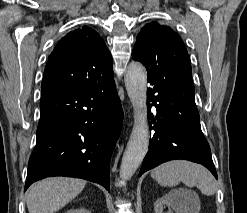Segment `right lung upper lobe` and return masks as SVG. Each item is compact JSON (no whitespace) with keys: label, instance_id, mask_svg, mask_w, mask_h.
<instances>
[{"label":"right lung upper lobe","instance_id":"obj_1","mask_svg":"<svg viewBox=\"0 0 247 213\" xmlns=\"http://www.w3.org/2000/svg\"><path fill=\"white\" fill-rule=\"evenodd\" d=\"M113 60L101 36L87 26L58 42L44 70L41 99L113 76Z\"/></svg>","mask_w":247,"mask_h":213}]
</instances>
